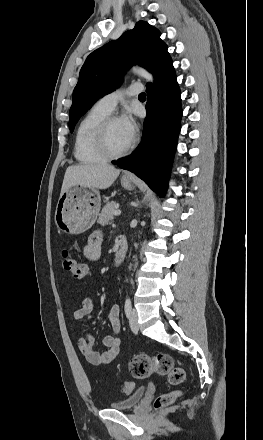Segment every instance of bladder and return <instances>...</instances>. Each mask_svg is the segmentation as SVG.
<instances>
[{
    "instance_id": "obj_1",
    "label": "bladder",
    "mask_w": 263,
    "mask_h": 440,
    "mask_svg": "<svg viewBox=\"0 0 263 440\" xmlns=\"http://www.w3.org/2000/svg\"><path fill=\"white\" fill-rule=\"evenodd\" d=\"M145 391L146 390L144 387H139L129 396L121 400L112 402L110 404V407L111 409L121 410V411L133 410L137 408L140 402L142 401L143 397L145 396Z\"/></svg>"
}]
</instances>
